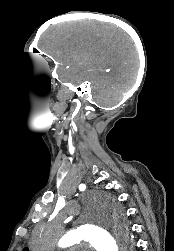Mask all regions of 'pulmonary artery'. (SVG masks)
I'll use <instances>...</instances> for the list:
<instances>
[{
	"label": "pulmonary artery",
	"instance_id": "1",
	"mask_svg": "<svg viewBox=\"0 0 174 251\" xmlns=\"http://www.w3.org/2000/svg\"><path fill=\"white\" fill-rule=\"evenodd\" d=\"M85 247H90L88 244H84Z\"/></svg>",
	"mask_w": 174,
	"mask_h": 251
}]
</instances>
